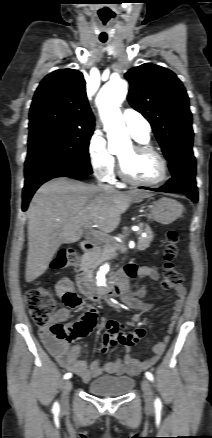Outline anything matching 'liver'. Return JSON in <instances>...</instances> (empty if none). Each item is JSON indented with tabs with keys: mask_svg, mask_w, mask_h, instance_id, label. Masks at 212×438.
<instances>
[{
	"mask_svg": "<svg viewBox=\"0 0 212 438\" xmlns=\"http://www.w3.org/2000/svg\"><path fill=\"white\" fill-rule=\"evenodd\" d=\"M151 196L142 190H106L65 177L43 184L27 211L26 282L48 269L61 244L79 241L86 225L94 224L100 233H110L132 200Z\"/></svg>",
	"mask_w": 212,
	"mask_h": 438,
	"instance_id": "liver-1",
	"label": "liver"
}]
</instances>
